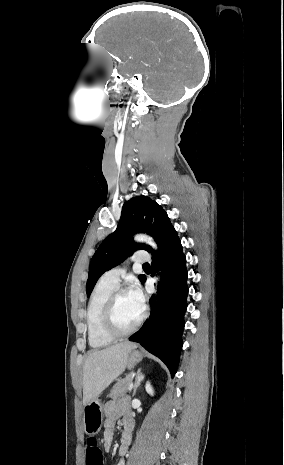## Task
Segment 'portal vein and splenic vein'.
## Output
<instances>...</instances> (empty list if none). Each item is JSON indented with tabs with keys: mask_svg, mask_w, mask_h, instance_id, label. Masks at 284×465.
<instances>
[{
	"mask_svg": "<svg viewBox=\"0 0 284 465\" xmlns=\"http://www.w3.org/2000/svg\"><path fill=\"white\" fill-rule=\"evenodd\" d=\"M132 387H133V385H132V383H131V385H130V387H129V391H131Z\"/></svg>",
	"mask_w": 284,
	"mask_h": 465,
	"instance_id": "portal-vein-and-splenic-vein-1",
	"label": "portal vein and splenic vein"
}]
</instances>
